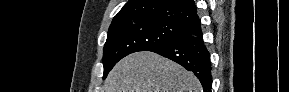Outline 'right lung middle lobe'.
Segmentation results:
<instances>
[{
  "label": "right lung middle lobe",
  "mask_w": 289,
  "mask_h": 92,
  "mask_svg": "<svg viewBox=\"0 0 289 92\" xmlns=\"http://www.w3.org/2000/svg\"><path fill=\"white\" fill-rule=\"evenodd\" d=\"M188 29L185 24L154 18H133L111 24L103 49L104 76L123 57L165 44Z\"/></svg>",
  "instance_id": "right-lung-middle-lobe-1"
}]
</instances>
